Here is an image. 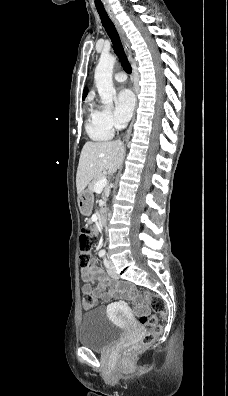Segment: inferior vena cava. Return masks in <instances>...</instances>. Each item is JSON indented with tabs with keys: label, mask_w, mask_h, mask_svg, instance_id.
<instances>
[{
	"label": "inferior vena cava",
	"mask_w": 228,
	"mask_h": 396,
	"mask_svg": "<svg viewBox=\"0 0 228 396\" xmlns=\"http://www.w3.org/2000/svg\"><path fill=\"white\" fill-rule=\"evenodd\" d=\"M125 127H126V124L123 125V128H125Z\"/></svg>",
	"instance_id": "inferior-vena-cava-1"
}]
</instances>
